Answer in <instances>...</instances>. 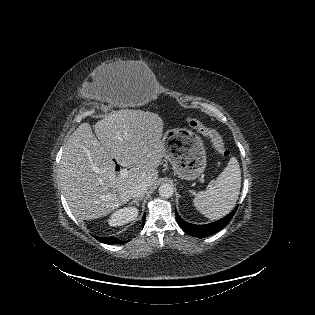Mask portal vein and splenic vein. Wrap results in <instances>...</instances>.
Instances as JSON below:
<instances>
[{"mask_svg":"<svg viewBox=\"0 0 315 315\" xmlns=\"http://www.w3.org/2000/svg\"><path fill=\"white\" fill-rule=\"evenodd\" d=\"M128 175H129V171L127 170V168H122L120 170V175L119 176L121 178H126Z\"/></svg>","mask_w":315,"mask_h":315,"instance_id":"18ae733b","label":"portal vein and splenic vein"}]
</instances>
